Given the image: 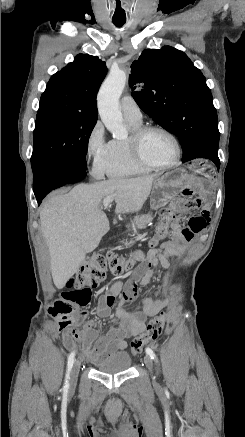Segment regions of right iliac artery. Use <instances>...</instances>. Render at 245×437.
<instances>
[{"label":"right iliac artery","mask_w":245,"mask_h":437,"mask_svg":"<svg viewBox=\"0 0 245 437\" xmlns=\"http://www.w3.org/2000/svg\"><path fill=\"white\" fill-rule=\"evenodd\" d=\"M74 357H75V353L72 352V353L69 355V358H68L67 372H66V379H65L64 386H63V391H64V393H67V392H68V389H69V377H70V371H71V369H72V367H73Z\"/></svg>","instance_id":"right-iliac-artery-1"}]
</instances>
